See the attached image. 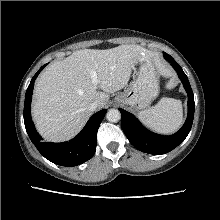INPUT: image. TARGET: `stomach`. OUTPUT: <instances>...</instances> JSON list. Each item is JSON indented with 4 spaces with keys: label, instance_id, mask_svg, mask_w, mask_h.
<instances>
[{
    "label": "stomach",
    "instance_id": "stomach-1",
    "mask_svg": "<svg viewBox=\"0 0 220 220\" xmlns=\"http://www.w3.org/2000/svg\"><path fill=\"white\" fill-rule=\"evenodd\" d=\"M158 94L159 74L154 63L150 60L140 63L134 80L124 92L115 98V102L123 106H130L135 110H143Z\"/></svg>",
    "mask_w": 220,
    "mask_h": 220
}]
</instances>
